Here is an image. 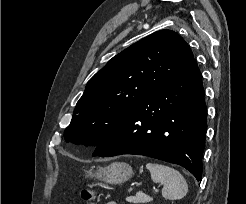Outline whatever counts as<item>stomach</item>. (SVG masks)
<instances>
[{"label":"stomach","mask_w":246,"mask_h":204,"mask_svg":"<svg viewBox=\"0 0 246 204\" xmlns=\"http://www.w3.org/2000/svg\"><path fill=\"white\" fill-rule=\"evenodd\" d=\"M133 175L132 167L123 162H114L107 167H99L94 172L86 171V177L95 178L108 184H120L130 179Z\"/></svg>","instance_id":"obj_1"}]
</instances>
